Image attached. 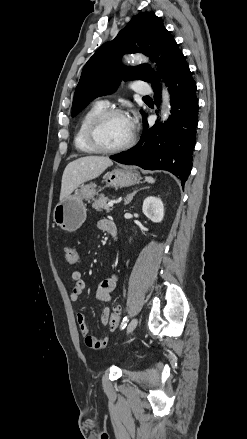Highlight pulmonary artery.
<instances>
[{
	"mask_svg": "<svg viewBox=\"0 0 247 439\" xmlns=\"http://www.w3.org/2000/svg\"><path fill=\"white\" fill-rule=\"evenodd\" d=\"M132 89L135 92H137L139 94H142V95H147V94H149L151 92L150 86L146 82H144L142 80L134 81L132 83ZM101 102L104 103V104H108V101H106V100H103Z\"/></svg>",
	"mask_w": 247,
	"mask_h": 439,
	"instance_id": "obj_1",
	"label": "pulmonary artery"
}]
</instances>
